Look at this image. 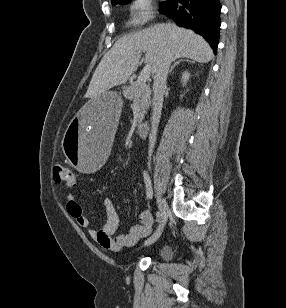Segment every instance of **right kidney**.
I'll use <instances>...</instances> for the list:
<instances>
[{
    "instance_id": "right-kidney-1",
    "label": "right kidney",
    "mask_w": 286,
    "mask_h": 308,
    "mask_svg": "<svg viewBox=\"0 0 286 308\" xmlns=\"http://www.w3.org/2000/svg\"><path fill=\"white\" fill-rule=\"evenodd\" d=\"M190 74L188 72H184L182 74L181 82L183 83V86L186 85L187 81L189 80Z\"/></svg>"
}]
</instances>
